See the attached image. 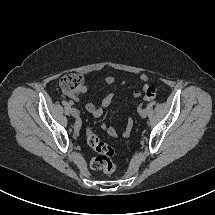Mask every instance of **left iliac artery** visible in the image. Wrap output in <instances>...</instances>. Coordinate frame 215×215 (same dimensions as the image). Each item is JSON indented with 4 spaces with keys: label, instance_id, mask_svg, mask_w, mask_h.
<instances>
[{
    "label": "left iliac artery",
    "instance_id": "44dca946",
    "mask_svg": "<svg viewBox=\"0 0 215 215\" xmlns=\"http://www.w3.org/2000/svg\"><path fill=\"white\" fill-rule=\"evenodd\" d=\"M138 113H143V108H138Z\"/></svg>",
    "mask_w": 215,
    "mask_h": 215
}]
</instances>
